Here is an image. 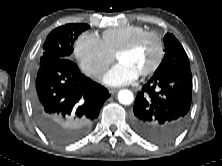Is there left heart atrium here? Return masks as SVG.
<instances>
[{
    "label": "left heart atrium",
    "mask_w": 222,
    "mask_h": 166,
    "mask_svg": "<svg viewBox=\"0 0 222 166\" xmlns=\"http://www.w3.org/2000/svg\"><path fill=\"white\" fill-rule=\"evenodd\" d=\"M138 73L123 62L114 65L104 76L103 81L109 86H122L133 82Z\"/></svg>",
    "instance_id": "left-heart-atrium-1"
}]
</instances>
